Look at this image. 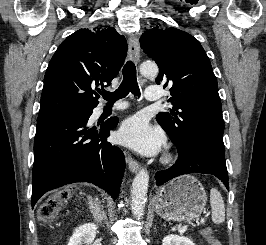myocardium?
<instances>
[{
	"mask_svg": "<svg viewBox=\"0 0 266 245\" xmlns=\"http://www.w3.org/2000/svg\"><path fill=\"white\" fill-rule=\"evenodd\" d=\"M172 157H173V153L170 152V153L167 154L166 160H170Z\"/></svg>",
	"mask_w": 266,
	"mask_h": 245,
	"instance_id": "myocardium-1",
	"label": "myocardium"
}]
</instances>
